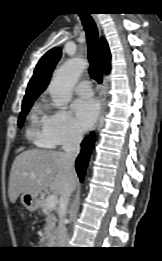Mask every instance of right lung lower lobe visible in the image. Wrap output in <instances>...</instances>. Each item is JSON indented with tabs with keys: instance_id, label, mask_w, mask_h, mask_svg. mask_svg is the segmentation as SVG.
<instances>
[{
	"instance_id": "98d812e1",
	"label": "right lung lower lobe",
	"mask_w": 162,
	"mask_h": 261,
	"mask_svg": "<svg viewBox=\"0 0 162 261\" xmlns=\"http://www.w3.org/2000/svg\"><path fill=\"white\" fill-rule=\"evenodd\" d=\"M94 145V133L87 136L81 144V152L76 159V171L80 177V181H83L85 170L88 165V160L92 152Z\"/></svg>"
}]
</instances>
